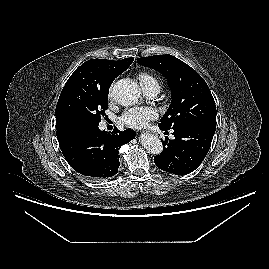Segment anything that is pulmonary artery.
<instances>
[{
    "label": "pulmonary artery",
    "mask_w": 269,
    "mask_h": 269,
    "mask_svg": "<svg viewBox=\"0 0 269 269\" xmlns=\"http://www.w3.org/2000/svg\"><path fill=\"white\" fill-rule=\"evenodd\" d=\"M141 85L144 94L148 97H156L160 92V84L157 81H150Z\"/></svg>",
    "instance_id": "pulmonary-artery-1"
}]
</instances>
